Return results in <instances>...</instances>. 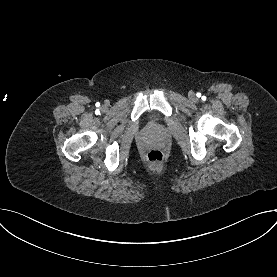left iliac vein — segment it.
<instances>
[{
  "label": "left iliac vein",
  "mask_w": 277,
  "mask_h": 277,
  "mask_svg": "<svg viewBox=\"0 0 277 277\" xmlns=\"http://www.w3.org/2000/svg\"><path fill=\"white\" fill-rule=\"evenodd\" d=\"M190 99H191L192 101H195V100H196L195 95H194V94H191V95H190Z\"/></svg>",
  "instance_id": "1"
}]
</instances>
